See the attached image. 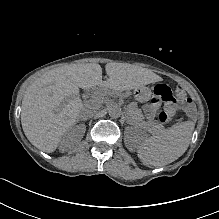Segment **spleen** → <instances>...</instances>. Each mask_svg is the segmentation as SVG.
Segmentation results:
<instances>
[{
  "label": "spleen",
  "mask_w": 219,
  "mask_h": 219,
  "mask_svg": "<svg viewBox=\"0 0 219 219\" xmlns=\"http://www.w3.org/2000/svg\"><path fill=\"white\" fill-rule=\"evenodd\" d=\"M193 130L194 124L187 122L154 133L152 137L138 141V155L149 166L172 163L187 150Z\"/></svg>",
  "instance_id": "1"
}]
</instances>
